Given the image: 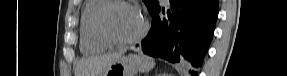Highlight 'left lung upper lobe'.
I'll use <instances>...</instances> for the list:
<instances>
[{"label": "left lung upper lobe", "instance_id": "obj_1", "mask_svg": "<svg viewBox=\"0 0 287 76\" xmlns=\"http://www.w3.org/2000/svg\"><path fill=\"white\" fill-rule=\"evenodd\" d=\"M145 5L147 6L148 10L150 11L153 6H155L158 3V0H143Z\"/></svg>", "mask_w": 287, "mask_h": 76}]
</instances>
